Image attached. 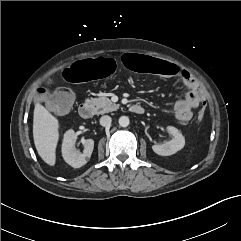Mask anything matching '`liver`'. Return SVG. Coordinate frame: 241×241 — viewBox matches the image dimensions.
<instances>
[{
  "instance_id": "liver-1",
  "label": "liver",
  "mask_w": 241,
  "mask_h": 241,
  "mask_svg": "<svg viewBox=\"0 0 241 241\" xmlns=\"http://www.w3.org/2000/svg\"><path fill=\"white\" fill-rule=\"evenodd\" d=\"M33 138L39 156L50 166L56 163L59 122L43 105L35 104Z\"/></svg>"
}]
</instances>
